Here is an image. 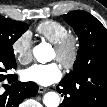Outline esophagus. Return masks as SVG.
Segmentation results:
<instances>
[{"label": "esophagus", "mask_w": 107, "mask_h": 107, "mask_svg": "<svg viewBox=\"0 0 107 107\" xmlns=\"http://www.w3.org/2000/svg\"><path fill=\"white\" fill-rule=\"evenodd\" d=\"M47 90H48L47 88L42 87V86H40V87L38 88V92H39V93H44V92H46Z\"/></svg>", "instance_id": "esophagus-1"}]
</instances>
